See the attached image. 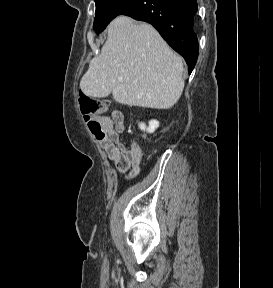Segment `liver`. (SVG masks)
Returning a JSON list of instances; mask_svg holds the SVG:
<instances>
[{
    "mask_svg": "<svg viewBox=\"0 0 273 288\" xmlns=\"http://www.w3.org/2000/svg\"><path fill=\"white\" fill-rule=\"evenodd\" d=\"M183 62L147 23L119 16L108 27V38L80 81L89 97L110 93L123 105L169 109L180 98Z\"/></svg>",
    "mask_w": 273,
    "mask_h": 288,
    "instance_id": "liver-1",
    "label": "liver"
}]
</instances>
